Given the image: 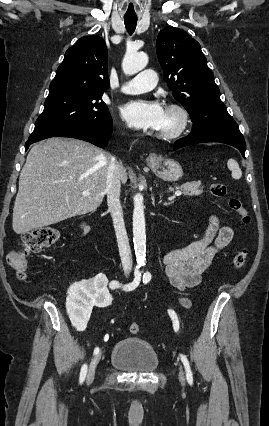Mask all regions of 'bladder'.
<instances>
[{
  "label": "bladder",
  "mask_w": 269,
  "mask_h": 426,
  "mask_svg": "<svg viewBox=\"0 0 269 426\" xmlns=\"http://www.w3.org/2000/svg\"><path fill=\"white\" fill-rule=\"evenodd\" d=\"M110 363L128 373H151L157 370L159 358L154 348L141 338L119 340L110 355Z\"/></svg>",
  "instance_id": "obj_1"
}]
</instances>
